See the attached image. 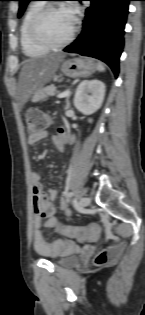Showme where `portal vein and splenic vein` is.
I'll list each match as a JSON object with an SVG mask.
<instances>
[{"mask_svg":"<svg viewBox=\"0 0 145 315\" xmlns=\"http://www.w3.org/2000/svg\"><path fill=\"white\" fill-rule=\"evenodd\" d=\"M70 91L67 90V91H64L60 94L57 95L58 98H64V97H67L69 95Z\"/></svg>","mask_w":145,"mask_h":315,"instance_id":"portal-vein-and-splenic-vein-1","label":"portal vein and splenic vein"}]
</instances>
